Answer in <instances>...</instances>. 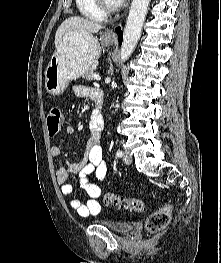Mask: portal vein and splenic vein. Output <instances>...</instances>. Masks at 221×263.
Here are the masks:
<instances>
[{
    "mask_svg": "<svg viewBox=\"0 0 221 263\" xmlns=\"http://www.w3.org/2000/svg\"><path fill=\"white\" fill-rule=\"evenodd\" d=\"M94 80L99 81V80H101V77H100L98 74H95V75H94Z\"/></svg>",
    "mask_w": 221,
    "mask_h": 263,
    "instance_id": "1",
    "label": "portal vein and splenic vein"
}]
</instances>
